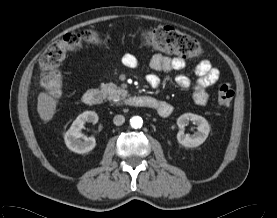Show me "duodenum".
Instances as JSON below:
<instances>
[{
    "instance_id": "obj_1",
    "label": "duodenum",
    "mask_w": 277,
    "mask_h": 218,
    "mask_svg": "<svg viewBox=\"0 0 277 218\" xmlns=\"http://www.w3.org/2000/svg\"><path fill=\"white\" fill-rule=\"evenodd\" d=\"M83 102L87 105H100L103 102V95L100 90L96 88H90L85 91L83 95ZM162 102L159 99L150 95H133L127 98L124 102L125 105L132 107H141L157 110L162 106ZM171 113V112H170ZM170 113L161 116H168Z\"/></svg>"
}]
</instances>
